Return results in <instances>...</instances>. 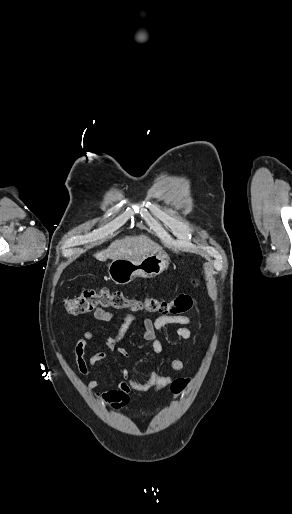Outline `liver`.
<instances>
[{
	"label": "liver",
	"mask_w": 292,
	"mask_h": 514,
	"mask_svg": "<svg viewBox=\"0 0 292 514\" xmlns=\"http://www.w3.org/2000/svg\"><path fill=\"white\" fill-rule=\"evenodd\" d=\"M156 250H160V246L149 240L147 236H135V238L127 236L124 240H115L107 250L98 252L94 256L100 262H106L107 258H111V260L130 258L132 260V258H140V256L149 254V252H156Z\"/></svg>",
	"instance_id": "1"
}]
</instances>
